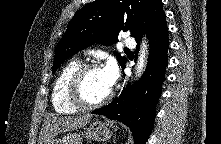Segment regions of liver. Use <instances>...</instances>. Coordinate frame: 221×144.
<instances>
[{"instance_id":"1","label":"liver","mask_w":221,"mask_h":144,"mask_svg":"<svg viewBox=\"0 0 221 144\" xmlns=\"http://www.w3.org/2000/svg\"><path fill=\"white\" fill-rule=\"evenodd\" d=\"M91 119V114L47 118L41 129L39 144H48L55 136L62 132L82 128L89 123Z\"/></svg>"}]
</instances>
